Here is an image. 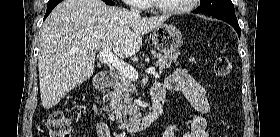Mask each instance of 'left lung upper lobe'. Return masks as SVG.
<instances>
[{
  "label": "left lung upper lobe",
  "instance_id": "obj_1",
  "mask_svg": "<svg viewBox=\"0 0 280 137\" xmlns=\"http://www.w3.org/2000/svg\"><path fill=\"white\" fill-rule=\"evenodd\" d=\"M194 13L237 19L231 0H201V6L194 10Z\"/></svg>",
  "mask_w": 280,
  "mask_h": 137
}]
</instances>
